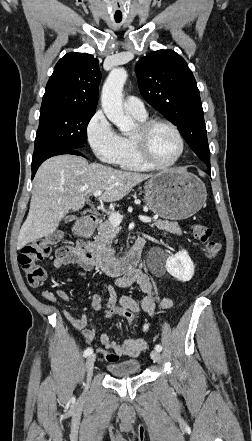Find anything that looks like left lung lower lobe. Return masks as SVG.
Masks as SVG:
<instances>
[{
	"mask_svg": "<svg viewBox=\"0 0 252 441\" xmlns=\"http://www.w3.org/2000/svg\"><path fill=\"white\" fill-rule=\"evenodd\" d=\"M206 166H207V173L210 175V171H211L210 165H206Z\"/></svg>",
	"mask_w": 252,
	"mask_h": 441,
	"instance_id": "0a47b994",
	"label": "left lung lower lobe"
}]
</instances>
